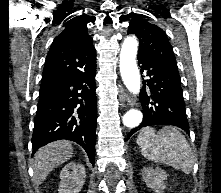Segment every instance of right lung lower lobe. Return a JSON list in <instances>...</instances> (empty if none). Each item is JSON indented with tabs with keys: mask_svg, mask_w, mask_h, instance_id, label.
<instances>
[{
	"mask_svg": "<svg viewBox=\"0 0 221 193\" xmlns=\"http://www.w3.org/2000/svg\"><path fill=\"white\" fill-rule=\"evenodd\" d=\"M96 63L79 73L41 84L34 131L33 154L52 141L80 144L95 162L97 98Z\"/></svg>",
	"mask_w": 221,
	"mask_h": 193,
	"instance_id": "right-lung-lower-lobe-1",
	"label": "right lung lower lobe"
}]
</instances>
